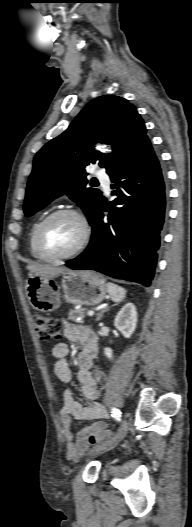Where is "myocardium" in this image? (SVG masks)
Wrapping results in <instances>:
<instances>
[{"label":"myocardium","mask_w":192,"mask_h":527,"mask_svg":"<svg viewBox=\"0 0 192 527\" xmlns=\"http://www.w3.org/2000/svg\"><path fill=\"white\" fill-rule=\"evenodd\" d=\"M62 215H71V216H74L75 218H77V220L80 222L81 228H82L81 238H80L78 244L76 245V247L73 250H71L70 252H68L66 254H62V255H51V254L47 253L44 250V248H43V245H42V233H43L45 227L54 218H56L58 216H62ZM90 236H91V226H90V223H89L86 215L82 211H80L79 209H76V208H71V207L59 208V209H56V210L52 211L48 215H46L42 219V221L38 224V226L36 228V231H35V235H34V246H35V250H36L38 256L40 257V259H42L44 261H48V262H60V261L71 259V258L77 256L79 253H81L85 249V247L87 246V244H88V242L90 240Z\"/></svg>","instance_id":"obj_1"}]
</instances>
